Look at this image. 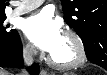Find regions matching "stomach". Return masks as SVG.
Wrapping results in <instances>:
<instances>
[{
  "label": "stomach",
  "instance_id": "obj_1",
  "mask_svg": "<svg viewBox=\"0 0 107 75\" xmlns=\"http://www.w3.org/2000/svg\"><path fill=\"white\" fill-rule=\"evenodd\" d=\"M64 75H75V74H73V73H66V74H64Z\"/></svg>",
  "mask_w": 107,
  "mask_h": 75
}]
</instances>
